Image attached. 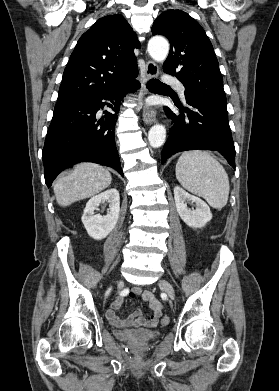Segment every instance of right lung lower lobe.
I'll list each match as a JSON object with an SVG mask.
<instances>
[{"mask_svg":"<svg viewBox=\"0 0 279 391\" xmlns=\"http://www.w3.org/2000/svg\"><path fill=\"white\" fill-rule=\"evenodd\" d=\"M130 80L115 91L101 96L56 105L49 126L42 159L45 182L51 186L57 175L72 164L89 161L116 169L122 176L114 139V127L123 95L130 90ZM111 100L114 114L104 111Z\"/></svg>","mask_w":279,"mask_h":391,"instance_id":"1","label":"right lung lower lobe"}]
</instances>
